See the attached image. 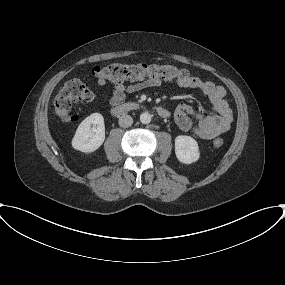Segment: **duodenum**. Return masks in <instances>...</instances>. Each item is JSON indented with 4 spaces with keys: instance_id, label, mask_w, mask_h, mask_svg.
<instances>
[{
    "instance_id": "410a0bca",
    "label": "duodenum",
    "mask_w": 285,
    "mask_h": 285,
    "mask_svg": "<svg viewBox=\"0 0 285 285\" xmlns=\"http://www.w3.org/2000/svg\"><path fill=\"white\" fill-rule=\"evenodd\" d=\"M139 108L140 106L135 103H121L112 107L111 114L115 117H121L128 112L137 110ZM154 110L161 118L169 117V111L162 106H155Z\"/></svg>"
}]
</instances>
